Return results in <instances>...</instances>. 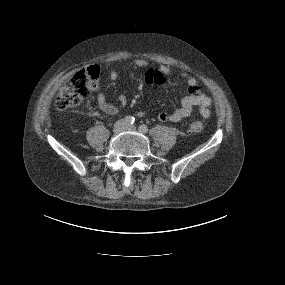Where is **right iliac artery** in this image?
Instances as JSON below:
<instances>
[{
    "label": "right iliac artery",
    "mask_w": 285,
    "mask_h": 285,
    "mask_svg": "<svg viewBox=\"0 0 285 285\" xmlns=\"http://www.w3.org/2000/svg\"><path fill=\"white\" fill-rule=\"evenodd\" d=\"M135 121V118L133 116H126L125 117V122L128 124H133Z\"/></svg>",
    "instance_id": "82829eb1"
}]
</instances>
